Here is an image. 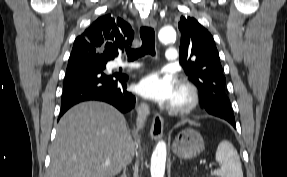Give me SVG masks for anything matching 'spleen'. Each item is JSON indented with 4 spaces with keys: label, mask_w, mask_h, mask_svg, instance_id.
<instances>
[{
    "label": "spleen",
    "mask_w": 287,
    "mask_h": 177,
    "mask_svg": "<svg viewBox=\"0 0 287 177\" xmlns=\"http://www.w3.org/2000/svg\"><path fill=\"white\" fill-rule=\"evenodd\" d=\"M215 159L221 164L220 169L213 171L218 177H243L242 165L238 152L227 140L218 145Z\"/></svg>",
    "instance_id": "3e777b00"
}]
</instances>
